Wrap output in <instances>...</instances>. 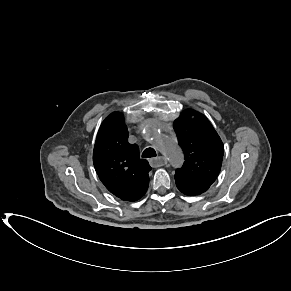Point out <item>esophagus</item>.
<instances>
[{"label":"esophagus","instance_id":"1","mask_svg":"<svg viewBox=\"0 0 291 291\" xmlns=\"http://www.w3.org/2000/svg\"><path fill=\"white\" fill-rule=\"evenodd\" d=\"M152 167H161L167 164V159L163 156H158L150 160Z\"/></svg>","mask_w":291,"mask_h":291}]
</instances>
